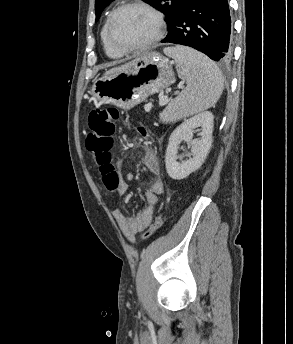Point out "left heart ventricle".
<instances>
[{"mask_svg": "<svg viewBox=\"0 0 293 344\" xmlns=\"http://www.w3.org/2000/svg\"><path fill=\"white\" fill-rule=\"evenodd\" d=\"M155 31L153 17L140 8H127L116 17L113 25L115 41L122 46H135L148 40Z\"/></svg>", "mask_w": 293, "mask_h": 344, "instance_id": "1", "label": "left heart ventricle"}]
</instances>
